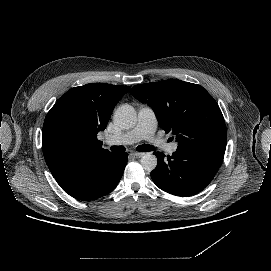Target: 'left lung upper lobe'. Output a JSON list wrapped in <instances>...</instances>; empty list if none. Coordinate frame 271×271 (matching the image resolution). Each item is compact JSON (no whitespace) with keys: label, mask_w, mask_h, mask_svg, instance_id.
Masks as SVG:
<instances>
[{"label":"left lung upper lobe","mask_w":271,"mask_h":271,"mask_svg":"<svg viewBox=\"0 0 271 271\" xmlns=\"http://www.w3.org/2000/svg\"><path fill=\"white\" fill-rule=\"evenodd\" d=\"M131 94L147 103L166 133L176 135L178 146L212 145L226 148L227 134L222 112L200 85L177 79L134 86Z\"/></svg>","instance_id":"1"}]
</instances>
